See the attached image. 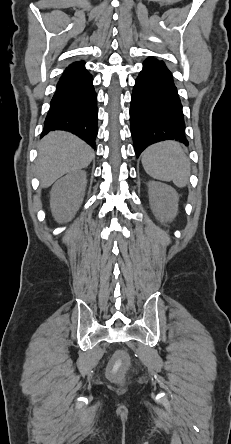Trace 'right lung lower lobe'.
Segmentation results:
<instances>
[{"label": "right lung lower lobe", "mask_w": 231, "mask_h": 444, "mask_svg": "<svg viewBox=\"0 0 231 444\" xmlns=\"http://www.w3.org/2000/svg\"><path fill=\"white\" fill-rule=\"evenodd\" d=\"M97 122V97L91 75L84 66L65 71L51 100L41 136L52 130H65L95 149Z\"/></svg>", "instance_id": "right-lung-lower-lobe-1"}]
</instances>
